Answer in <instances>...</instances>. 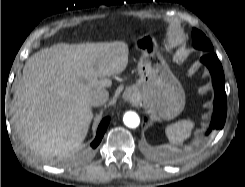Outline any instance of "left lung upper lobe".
<instances>
[{
  "label": "left lung upper lobe",
  "mask_w": 245,
  "mask_h": 187,
  "mask_svg": "<svg viewBox=\"0 0 245 187\" xmlns=\"http://www.w3.org/2000/svg\"><path fill=\"white\" fill-rule=\"evenodd\" d=\"M193 46L197 49L206 51L207 53L213 52L214 48L210 40L199 30L193 29Z\"/></svg>",
  "instance_id": "5c2ea615"
}]
</instances>
